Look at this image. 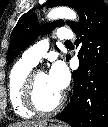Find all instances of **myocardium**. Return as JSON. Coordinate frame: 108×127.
<instances>
[{
	"label": "myocardium",
	"mask_w": 108,
	"mask_h": 127,
	"mask_svg": "<svg viewBox=\"0 0 108 127\" xmlns=\"http://www.w3.org/2000/svg\"><path fill=\"white\" fill-rule=\"evenodd\" d=\"M41 73H45V71L35 69L27 76L23 87V101L26 108L34 114L48 115L57 112L62 107L65 101V95L61 94L56 103L50 108H43L37 101L35 91L36 79Z\"/></svg>",
	"instance_id": "myocardium-1"
}]
</instances>
